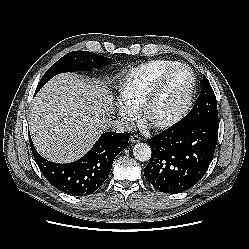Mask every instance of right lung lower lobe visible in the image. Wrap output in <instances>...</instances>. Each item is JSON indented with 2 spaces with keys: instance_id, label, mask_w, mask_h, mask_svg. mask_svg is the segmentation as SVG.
I'll return each instance as SVG.
<instances>
[{
  "instance_id": "1",
  "label": "right lung lower lobe",
  "mask_w": 249,
  "mask_h": 249,
  "mask_svg": "<svg viewBox=\"0 0 249 249\" xmlns=\"http://www.w3.org/2000/svg\"><path fill=\"white\" fill-rule=\"evenodd\" d=\"M130 134L106 132L81 159L58 164L44 159L33 146L34 158L45 178L54 187L67 194L81 196L96 191L105 181L116 155L127 147Z\"/></svg>"
}]
</instances>
